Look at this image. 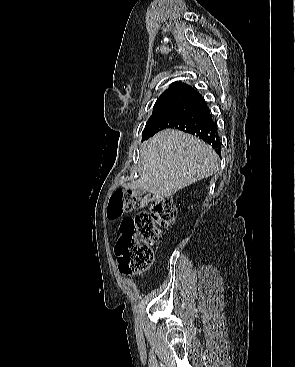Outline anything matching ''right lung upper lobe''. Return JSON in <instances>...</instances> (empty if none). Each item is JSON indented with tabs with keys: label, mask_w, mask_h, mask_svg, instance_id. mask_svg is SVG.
<instances>
[{
	"label": "right lung upper lobe",
	"mask_w": 295,
	"mask_h": 367,
	"mask_svg": "<svg viewBox=\"0 0 295 367\" xmlns=\"http://www.w3.org/2000/svg\"><path fill=\"white\" fill-rule=\"evenodd\" d=\"M172 89H191V90H194L191 86H189L185 83H181V82L172 83L171 86L169 87V89H167V90H172ZM194 92H195V90H194Z\"/></svg>",
	"instance_id": "right-lung-upper-lobe-1"
}]
</instances>
